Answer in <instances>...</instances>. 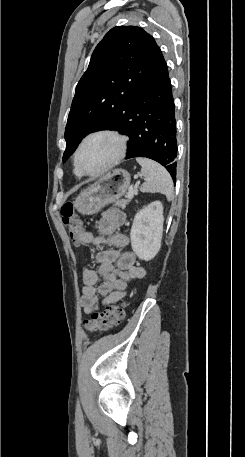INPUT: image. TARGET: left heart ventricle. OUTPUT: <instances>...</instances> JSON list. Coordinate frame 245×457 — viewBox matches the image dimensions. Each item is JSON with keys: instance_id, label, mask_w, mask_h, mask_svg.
<instances>
[{"instance_id": "obj_1", "label": "left heart ventricle", "mask_w": 245, "mask_h": 457, "mask_svg": "<svg viewBox=\"0 0 245 457\" xmlns=\"http://www.w3.org/2000/svg\"><path fill=\"white\" fill-rule=\"evenodd\" d=\"M116 141L109 136L89 139L81 153L80 163L88 172H95L107 165L115 154Z\"/></svg>"}]
</instances>
